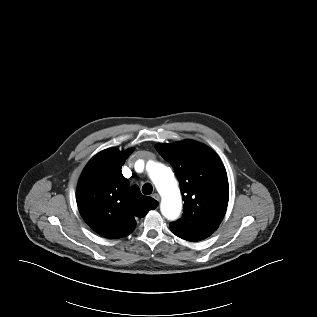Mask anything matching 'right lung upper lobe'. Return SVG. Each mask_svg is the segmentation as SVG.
<instances>
[{"label": "right lung upper lobe", "mask_w": 317, "mask_h": 317, "mask_svg": "<svg viewBox=\"0 0 317 317\" xmlns=\"http://www.w3.org/2000/svg\"><path fill=\"white\" fill-rule=\"evenodd\" d=\"M132 149H105L85 167L77 186L76 200L85 222L108 239L128 236L136 220L155 209L158 202L143 196L137 186L129 187L121 167Z\"/></svg>", "instance_id": "obj_1"}]
</instances>
